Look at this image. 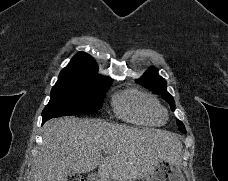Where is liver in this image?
Returning a JSON list of instances; mask_svg holds the SVG:
<instances>
[{
	"label": "liver",
	"instance_id": "obj_1",
	"mask_svg": "<svg viewBox=\"0 0 228 181\" xmlns=\"http://www.w3.org/2000/svg\"><path fill=\"white\" fill-rule=\"evenodd\" d=\"M42 131L43 147L30 181H68L70 171L91 173L97 167L99 181H137L153 175L163 159L177 165L182 151L180 137L173 133L95 119H52Z\"/></svg>",
	"mask_w": 228,
	"mask_h": 181
}]
</instances>
